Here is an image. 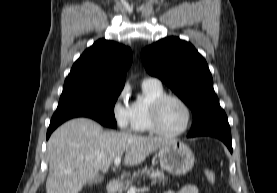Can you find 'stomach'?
Segmentation results:
<instances>
[{"mask_svg":"<svg viewBox=\"0 0 277 193\" xmlns=\"http://www.w3.org/2000/svg\"><path fill=\"white\" fill-rule=\"evenodd\" d=\"M158 156L162 168L177 176L188 173L195 162L192 150L179 140H171L161 147Z\"/></svg>","mask_w":277,"mask_h":193,"instance_id":"1","label":"stomach"}]
</instances>
